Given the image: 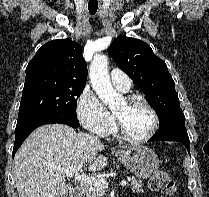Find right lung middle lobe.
Instances as JSON below:
<instances>
[{"label":"right lung middle lobe","instance_id":"1","mask_svg":"<svg viewBox=\"0 0 209 197\" xmlns=\"http://www.w3.org/2000/svg\"><path fill=\"white\" fill-rule=\"evenodd\" d=\"M85 84L36 80L25 83L17 122L46 115L61 114L77 118V98Z\"/></svg>","mask_w":209,"mask_h":197}]
</instances>
